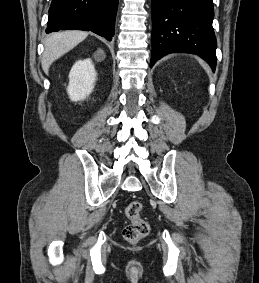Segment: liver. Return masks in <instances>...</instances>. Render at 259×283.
Listing matches in <instances>:
<instances>
[{
  "instance_id": "liver-1",
  "label": "liver",
  "mask_w": 259,
  "mask_h": 283,
  "mask_svg": "<svg viewBox=\"0 0 259 283\" xmlns=\"http://www.w3.org/2000/svg\"><path fill=\"white\" fill-rule=\"evenodd\" d=\"M88 36L84 31H63L49 35L44 42L45 50L42 57V69L48 74L51 64L72 50Z\"/></svg>"
}]
</instances>
